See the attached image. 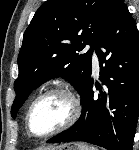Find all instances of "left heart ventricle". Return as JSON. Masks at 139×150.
Returning a JSON list of instances; mask_svg holds the SVG:
<instances>
[{
  "label": "left heart ventricle",
  "instance_id": "obj_1",
  "mask_svg": "<svg viewBox=\"0 0 139 150\" xmlns=\"http://www.w3.org/2000/svg\"><path fill=\"white\" fill-rule=\"evenodd\" d=\"M71 114L68 98L50 94L42 98L31 115V129L35 134H45L62 125Z\"/></svg>",
  "mask_w": 139,
  "mask_h": 150
}]
</instances>
